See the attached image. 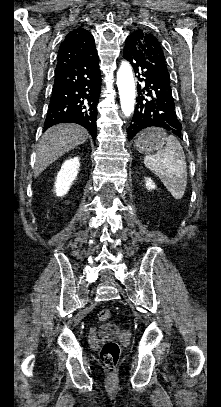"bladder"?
<instances>
[{
  "label": "bladder",
  "instance_id": "1",
  "mask_svg": "<svg viewBox=\"0 0 221 407\" xmlns=\"http://www.w3.org/2000/svg\"><path fill=\"white\" fill-rule=\"evenodd\" d=\"M100 333L109 337H115L119 333V327L112 322L102 325L99 329Z\"/></svg>",
  "mask_w": 221,
  "mask_h": 407
}]
</instances>
